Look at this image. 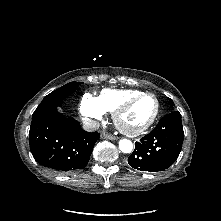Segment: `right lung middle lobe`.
I'll list each match as a JSON object with an SVG mask.
<instances>
[{"instance_id":"obj_1","label":"right lung middle lobe","mask_w":221,"mask_h":221,"mask_svg":"<svg viewBox=\"0 0 221 221\" xmlns=\"http://www.w3.org/2000/svg\"><path fill=\"white\" fill-rule=\"evenodd\" d=\"M80 84H82V82H70L62 86L61 88L56 89L55 91L45 96L37 108L49 103L61 101L62 99L76 91Z\"/></svg>"}]
</instances>
